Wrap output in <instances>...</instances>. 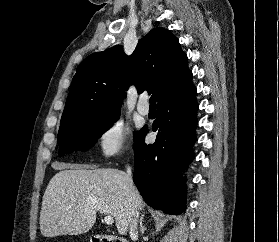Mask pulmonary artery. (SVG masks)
<instances>
[{
	"label": "pulmonary artery",
	"instance_id": "1",
	"mask_svg": "<svg viewBox=\"0 0 279 242\" xmlns=\"http://www.w3.org/2000/svg\"><path fill=\"white\" fill-rule=\"evenodd\" d=\"M146 98L142 97L139 99L137 110L141 115H148L149 113V106L145 104Z\"/></svg>",
	"mask_w": 279,
	"mask_h": 242
}]
</instances>
